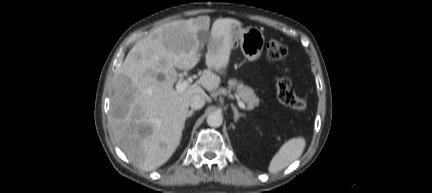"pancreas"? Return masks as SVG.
I'll list each match as a JSON object with an SVG mask.
<instances>
[{"label":"pancreas","instance_id":"pancreas-1","mask_svg":"<svg viewBox=\"0 0 432 193\" xmlns=\"http://www.w3.org/2000/svg\"><path fill=\"white\" fill-rule=\"evenodd\" d=\"M227 84L228 90L235 91L236 96L247 104L248 109H253L259 105L260 100L252 88L245 86L236 79H230Z\"/></svg>","mask_w":432,"mask_h":193}]
</instances>
